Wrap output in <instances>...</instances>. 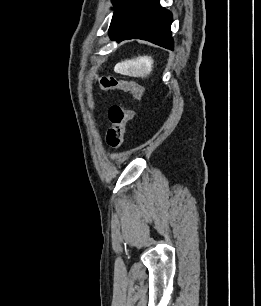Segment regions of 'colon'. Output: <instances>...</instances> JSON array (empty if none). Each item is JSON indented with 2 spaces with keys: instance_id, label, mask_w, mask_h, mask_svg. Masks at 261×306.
I'll list each match as a JSON object with an SVG mask.
<instances>
[{
  "instance_id": "obj_1",
  "label": "colon",
  "mask_w": 261,
  "mask_h": 306,
  "mask_svg": "<svg viewBox=\"0 0 261 306\" xmlns=\"http://www.w3.org/2000/svg\"><path fill=\"white\" fill-rule=\"evenodd\" d=\"M101 89L120 90L130 92L134 98L141 101L145 96L144 88L134 80L122 79L113 75H103L98 78ZM136 116L133 109H124L114 105L109 110V119L112 123L106 135L107 144L112 148H119L123 145L126 125Z\"/></svg>"
}]
</instances>
